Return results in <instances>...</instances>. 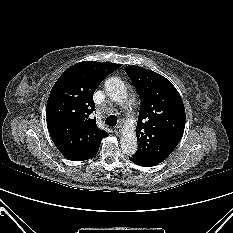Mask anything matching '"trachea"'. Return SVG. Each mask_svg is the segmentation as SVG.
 <instances>
[{"label":"trachea","mask_w":233,"mask_h":233,"mask_svg":"<svg viewBox=\"0 0 233 233\" xmlns=\"http://www.w3.org/2000/svg\"><path fill=\"white\" fill-rule=\"evenodd\" d=\"M105 124L108 126L114 127L117 124V117L115 115H110L106 118Z\"/></svg>","instance_id":"3493384b"}]
</instances>
